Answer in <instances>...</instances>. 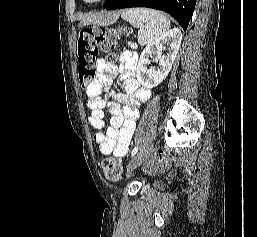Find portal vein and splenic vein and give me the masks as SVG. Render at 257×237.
I'll return each instance as SVG.
<instances>
[{
    "instance_id": "1",
    "label": "portal vein and splenic vein",
    "mask_w": 257,
    "mask_h": 237,
    "mask_svg": "<svg viewBox=\"0 0 257 237\" xmlns=\"http://www.w3.org/2000/svg\"><path fill=\"white\" fill-rule=\"evenodd\" d=\"M130 46H131L132 49H136L137 48V44H135V43H132Z\"/></svg>"
}]
</instances>
